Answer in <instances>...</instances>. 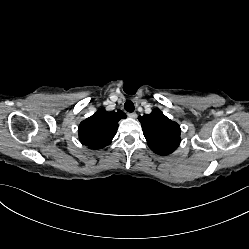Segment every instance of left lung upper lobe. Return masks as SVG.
Instances as JSON below:
<instances>
[{"label": "left lung upper lobe", "mask_w": 249, "mask_h": 249, "mask_svg": "<svg viewBox=\"0 0 249 249\" xmlns=\"http://www.w3.org/2000/svg\"><path fill=\"white\" fill-rule=\"evenodd\" d=\"M144 137L152 151L159 155L174 152L180 144V126L166 117L159 109L139 116Z\"/></svg>", "instance_id": "5c2ea615"}]
</instances>
